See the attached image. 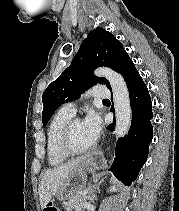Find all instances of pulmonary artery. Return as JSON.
<instances>
[{"instance_id": "pulmonary-artery-1", "label": "pulmonary artery", "mask_w": 179, "mask_h": 211, "mask_svg": "<svg viewBox=\"0 0 179 211\" xmlns=\"http://www.w3.org/2000/svg\"><path fill=\"white\" fill-rule=\"evenodd\" d=\"M90 95L96 99H108L111 94L106 86L97 85L90 90ZM62 109L72 115L76 113V106L73 102L66 103Z\"/></svg>"}]
</instances>
